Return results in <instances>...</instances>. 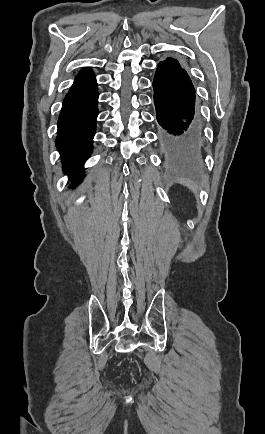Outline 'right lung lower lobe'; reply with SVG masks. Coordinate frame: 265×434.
Masks as SVG:
<instances>
[{
  "instance_id": "obj_1",
  "label": "right lung lower lobe",
  "mask_w": 265,
  "mask_h": 434,
  "mask_svg": "<svg viewBox=\"0 0 265 434\" xmlns=\"http://www.w3.org/2000/svg\"><path fill=\"white\" fill-rule=\"evenodd\" d=\"M97 104L94 73L89 68L82 69L64 98L56 139L63 170L71 176L73 182L83 177L82 165L93 149Z\"/></svg>"
}]
</instances>
